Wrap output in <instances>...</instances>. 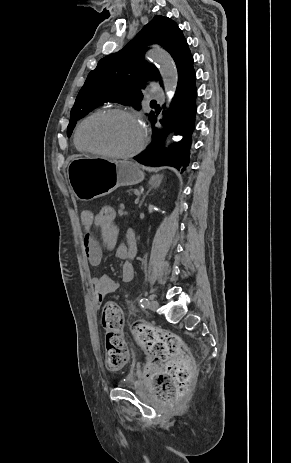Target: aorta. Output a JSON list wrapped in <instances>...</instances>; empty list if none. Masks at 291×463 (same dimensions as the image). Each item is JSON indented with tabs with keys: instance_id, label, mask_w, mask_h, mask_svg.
<instances>
[{
	"instance_id": "762f6f07",
	"label": "aorta",
	"mask_w": 291,
	"mask_h": 463,
	"mask_svg": "<svg viewBox=\"0 0 291 463\" xmlns=\"http://www.w3.org/2000/svg\"><path fill=\"white\" fill-rule=\"evenodd\" d=\"M147 56L149 59L157 63L159 72L163 79L165 92L169 98H171L178 83V73L175 64L171 57L162 51L150 50L147 53ZM167 107H169V105H167Z\"/></svg>"
}]
</instances>
